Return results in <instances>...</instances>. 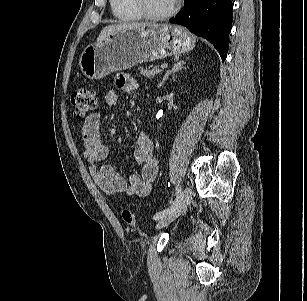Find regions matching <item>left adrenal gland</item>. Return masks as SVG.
I'll list each match as a JSON object with an SVG mask.
<instances>
[{
	"label": "left adrenal gland",
	"mask_w": 307,
	"mask_h": 301,
	"mask_svg": "<svg viewBox=\"0 0 307 301\" xmlns=\"http://www.w3.org/2000/svg\"><path fill=\"white\" fill-rule=\"evenodd\" d=\"M184 65H185V61H182V60L175 63L170 70L166 71V73H165L162 81L159 83L158 87H161L163 85V83L169 78V76L171 74H174L175 72L183 69Z\"/></svg>",
	"instance_id": "a2214340"
}]
</instances>
